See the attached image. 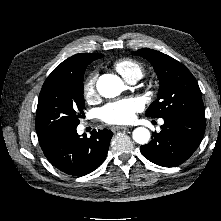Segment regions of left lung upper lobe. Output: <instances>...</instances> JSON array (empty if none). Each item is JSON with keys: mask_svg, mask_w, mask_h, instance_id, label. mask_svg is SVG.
I'll return each instance as SVG.
<instances>
[{"mask_svg": "<svg viewBox=\"0 0 221 221\" xmlns=\"http://www.w3.org/2000/svg\"><path fill=\"white\" fill-rule=\"evenodd\" d=\"M135 54L153 65L160 80L158 99L149 106L147 117L166 118L181 114L204 117L205 109L198 83L182 63L147 48Z\"/></svg>", "mask_w": 221, "mask_h": 221, "instance_id": "5c2ea615", "label": "left lung upper lobe"}]
</instances>
